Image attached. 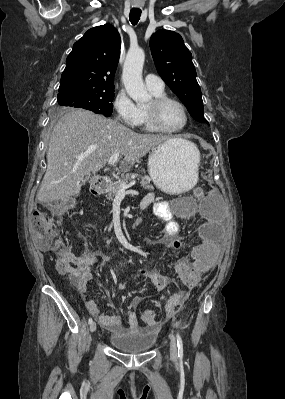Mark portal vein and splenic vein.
<instances>
[{
    "mask_svg": "<svg viewBox=\"0 0 285 399\" xmlns=\"http://www.w3.org/2000/svg\"><path fill=\"white\" fill-rule=\"evenodd\" d=\"M118 158H119V154H118V153L112 155V156L110 157V159L108 160V165H113L114 163H116V161L118 160ZM135 183H136L135 181H132V182H130L129 184H122L121 187H120V189H119V191H118V193L124 194V193L126 192V190H127L128 188L132 187L133 185H135Z\"/></svg>",
    "mask_w": 285,
    "mask_h": 399,
    "instance_id": "18ae733b",
    "label": "portal vein and splenic vein"
}]
</instances>
